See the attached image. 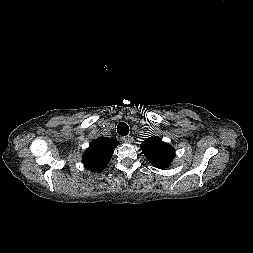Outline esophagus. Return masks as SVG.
Instances as JSON below:
<instances>
[{
	"label": "esophagus",
	"mask_w": 253,
	"mask_h": 253,
	"mask_svg": "<svg viewBox=\"0 0 253 253\" xmlns=\"http://www.w3.org/2000/svg\"><path fill=\"white\" fill-rule=\"evenodd\" d=\"M123 141L127 144H131L133 142V137L131 136H126L123 138Z\"/></svg>",
	"instance_id": "1"
}]
</instances>
